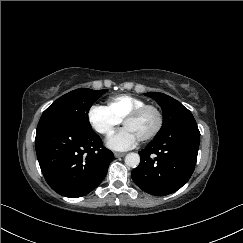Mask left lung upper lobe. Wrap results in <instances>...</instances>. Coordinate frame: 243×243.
I'll use <instances>...</instances> for the list:
<instances>
[{"label":"left lung upper lobe","mask_w":243,"mask_h":243,"mask_svg":"<svg viewBox=\"0 0 243 243\" xmlns=\"http://www.w3.org/2000/svg\"><path fill=\"white\" fill-rule=\"evenodd\" d=\"M145 95L154 98L162 108L163 125L156 136L163 135L186 121L194 120L192 113L172 97L157 92H149Z\"/></svg>","instance_id":"1"}]
</instances>
